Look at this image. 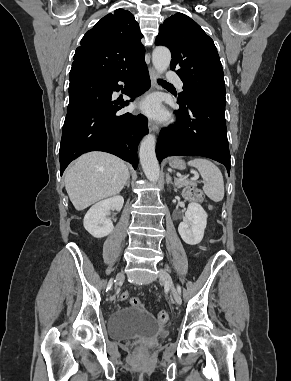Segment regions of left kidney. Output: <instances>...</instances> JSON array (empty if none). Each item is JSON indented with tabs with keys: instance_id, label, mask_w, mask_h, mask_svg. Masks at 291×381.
I'll use <instances>...</instances> for the list:
<instances>
[{
	"instance_id": "1",
	"label": "left kidney",
	"mask_w": 291,
	"mask_h": 381,
	"mask_svg": "<svg viewBox=\"0 0 291 381\" xmlns=\"http://www.w3.org/2000/svg\"><path fill=\"white\" fill-rule=\"evenodd\" d=\"M206 225L207 213L200 204L191 202L183 222L179 224L178 232L185 243L196 245L202 241Z\"/></svg>"
}]
</instances>
